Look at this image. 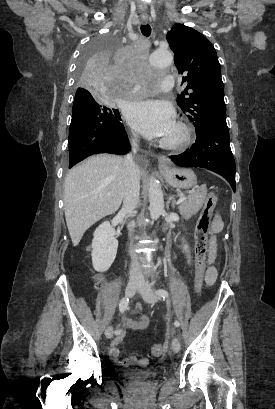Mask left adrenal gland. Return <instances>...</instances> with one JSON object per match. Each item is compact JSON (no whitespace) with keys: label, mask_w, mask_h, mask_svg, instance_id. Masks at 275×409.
<instances>
[{"label":"left adrenal gland","mask_w":275,"mask_h":409,"mask_svg":"<svg viewBox=\"0 0 275 409\" xmlns=\"http://www.w3.org/2000/svg\"><path fill=\"white\" fill-rule=\"evenodd\" d=\"M170 200H173V202H172V207H173V209H175V200H174L173 196H169V198H168V200H167V202H166V207H167V209H168V207H169V202H170Z\"/></svg>","instance_id":"left-adrenal-gland-1"}]
</instances>
